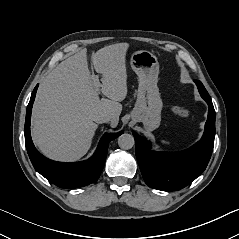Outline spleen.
I'll use <instances>...</instances> for the list:
<instances>
[{
  "instance_id": "spleen-1",
  "label": "spleen",
  "mask_w": 239,
  "mask_h": 239,
  "mask_svg": "<svg viewBox=\"0 0 239 239\" xmlns=\"http://www.w3.org/2000/svg\"><path fill=\"white\" fill-rule=\"evenodd\" d=\"M162 144H164V145H168L169 142H168V141H162Z\"/></svg>"
}]
</instances>
